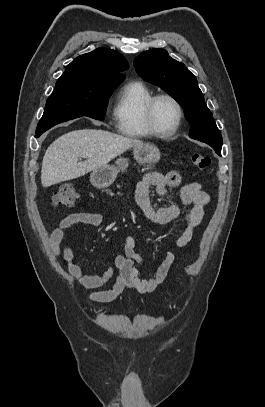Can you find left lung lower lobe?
Listing matches in <instances>:
<instances>
[{"label": "left lung lower lobe", "instance_id": "1", "mask_svg": "<svg viewBox=\"0 0 265 407\" xmlns=\"http://www.w3.org/2000/svg\"><path fill=\"white\" fill-rule=\"evenodd\" d=\"M218 155H221V150H219L215 145H210Z\"/></svg>", "mask_w": 265, "mask_h": 407}]
</instances>
